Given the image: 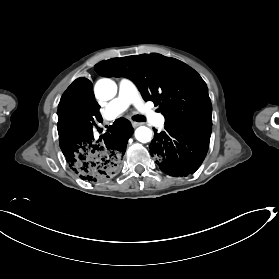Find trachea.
<instances>
[{"instance_id": "1", "label": "trachea", "mask_w": 279, "mask_h": 279, "mask_svg": "<svg viewBox=\"0 0 279 279\" xmlns=\"http://www.w3.org/2000/svg\"><path fill=\"white\" fill-rule=\"evenodd\" d=\"M133 120H135L137 122H144L146 120V117L143 115H136V116H133Z\"/></svg>"}]
</instances>
